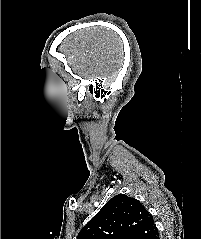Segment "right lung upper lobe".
I'll list each match as a JSON object with an SVG mask.
<instances>
[{"label": "right lung upper lobe", "instance_id": "obj_1", "mask_svg": "<svg viewBox=\"0 0 201 239\" xmlns=\"http://www.w3.org/2000/svg\"><path fill=\"white\" fill-rule=\"evenodd\" d=\"M152 215L135 198L110 199L79 232L77 239H157Z\"/></svg>", "mask_w": 201, "mask_h": 239}]
</instances>
